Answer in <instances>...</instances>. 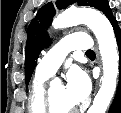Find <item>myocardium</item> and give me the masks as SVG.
I'll return each mask as SVG.
<instances>
[{
    "label": "myocardium",
    "mask_w": 121,
    "mask_h": 113,
    "mask_svg": "<svg viewBox=\"0 0 121 113\" xmlns=\"http://www.w3.org/2000/svg\"><path fill=\"white\" fill-rule=\"evenodd\" d=\"M45 105H46V109L48 110V113H59V112L55 111V109H54V104H53L52 96H51V88L45 92ZM74 110H75V108H73L65 113H72Z\"/></svg>",
    "instance_id": "obj_1"
}]
</instances>
